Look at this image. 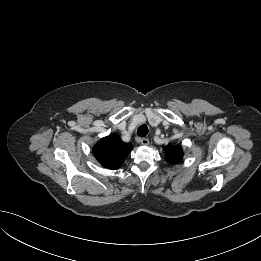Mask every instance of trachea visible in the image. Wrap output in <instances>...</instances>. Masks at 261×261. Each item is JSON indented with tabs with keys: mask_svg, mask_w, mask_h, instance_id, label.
Instances as JSON below:
<instances>
[{
	"mask_svg": "<svg viewBox=\"0 0 261 261\" xmlns=\"http://www.w3.org/2000/svg\"><path fill=\"white\" fill-rule=\"evenodd\" d=\"M147 134H148L147 125L143 124V125L139 126V128L137 129V135L141 136V137H145Z\"/></svg>",
	"mask_w": 261,
	"mask_h": 261,
	"instance_id": "3493384b",
	"label": "trachea"
}]
</instances>
